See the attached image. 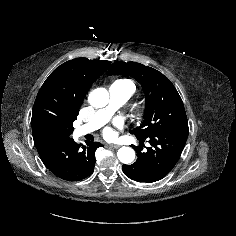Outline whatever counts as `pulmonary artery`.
<instances>
[{
  "mask_svg": "<svg viewBox=\"0 0 236 236\" xmlns=\"http://www.w3.org/2000/svg\"><path fill=\"white\" fill-rule=\"evenodd\" d=\"M132 93L133 88L131 85L121 81L113 82L109 87V104L106 107L97 110L89 122L78 126L75 129V136L81 137L103 126L113 113L129 100Z\"/></svg>",
  "mask_w": 236,
  "mask_h": 236,
  "instance_id": "e3ab8cb5",
  "label": "pulmonary artery"
}]
</instances>
